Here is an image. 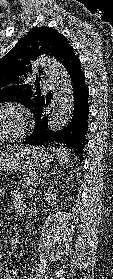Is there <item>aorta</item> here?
Listing matches in <instances>:
<instances>
[{
	"label": "aorta",
	"mask_w": 113,
	"mask_h": 279,
	"mask_svg": "<svg viewBox=\"0 0 113 279\" xmlns=\"http://www.w3.org/2000/svg\"><path fill=\"white\" fill-rule=\"evenodd\" d=\"M39 63L53 86L54 107L48 120V128L51 131H59L66 126L72 115L74 107L72 81L65 67L55 58L42 56Z\"/></svg>",
	"instance_id": "1"
}]
</instances>
